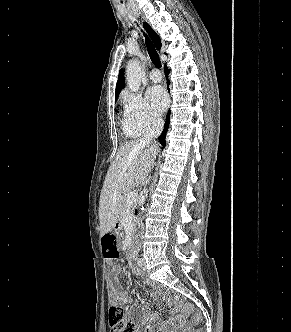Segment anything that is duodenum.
<instances>
[{
	"mask_svg": "<svg viewBox=\"0 0 291 332\" xmlns=\"http://www.w3.org/2000/svg\"><path fill=\"white\" fill-rule=\"evenodd\" d=\"M135 248H136L135 242L132 241L131 244H130V246H129V251H128V255L130 257L134 256V254H135Z\"/></svg>",
	"mask_w": 291,
	"mask_h": 332,
	"instance_id": "1",
	"label": "duodenum"
}]
</instances>
